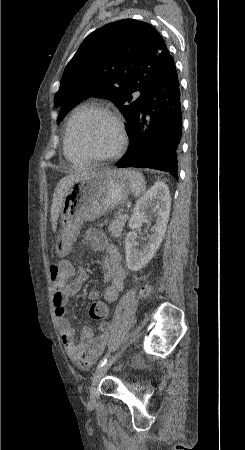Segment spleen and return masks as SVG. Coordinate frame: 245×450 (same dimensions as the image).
<instances>
[{"label":"spleen","instance_id":"3e777b00","mask_svg":"<svg viewBox=\"0 0 245 450\" xmlns=\"http://www.w3.org/2000/svg\"><path fill=\"white\" fill-rule=\"evenodd\" d=\"M130 182L131 192L135 197H139L145 191V179L141 173L136 171H123Z\"/></svg>","mask_w":245,"mask_h":450}]
</instances>
